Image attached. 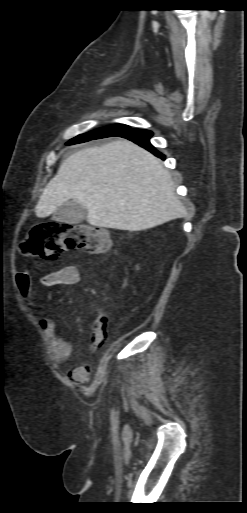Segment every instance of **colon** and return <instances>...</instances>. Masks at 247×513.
I'll use <instances>...</instances> for the list:
<instances>
[{
	"mask_svg": "<svg viewBox=\"0 0 247 513\" xmlns=\"http://www.w3.org/2000/svg\"><path fill=\"white\" fill-rule=\"evenodd\" d=\"M112 240L102 229L83 224L45 221L37 224L29 232L22 244L26 254L46 260H55L69 249L85 250L91 254L107 252ZM108 338V316L99 314L91 332V345L101 347Z\"/></svg>",
	"mask_w": 247,
	"mask_h": 513,
	"instance_id": "1",
	"label": "colon"
}]
</instances>
